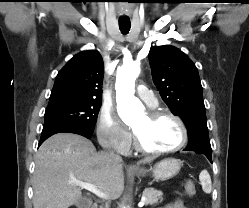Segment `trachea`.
Wrapping results in <instances>:
<instances>
[{
	"instance_id": "3493384b",
	"label": "trachea",
	"mask_w": 249,
	"mask_h": 208,
	"mask_svg": "<svg viewBox=\"0 0 249 208\" xmlns=\"http://www.w3.org/2000/svg\"><path fill=\"white\" fill-rule=\"evenodd\" d=\"M119 28H120V31L123 33V34H127L131 28V23H130V20L128 19H120L119 20Z\"/></svg>"
}]
</instances>
